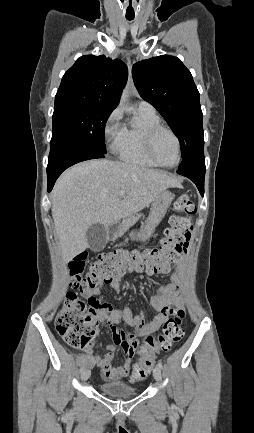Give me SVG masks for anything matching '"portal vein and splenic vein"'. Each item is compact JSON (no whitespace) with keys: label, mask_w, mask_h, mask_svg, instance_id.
<instances>
[{"label":"portal vein and splenic vein","mask_w":254,"mask_h":433,"mask_svg":"<svg viewBox=\"0 0 254 433\" xmlns=\"http://www.w3.org/2000/svg\"><path fill=\"white\" fill-rule=\"evenodd\" d=\"M125 195V192L124 191H121L120 193H119V196L120 197H122V196H124Z\"/></svg>","instance_id":"18ae733b"}]
</instances>
